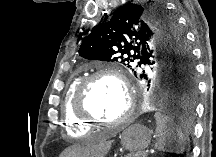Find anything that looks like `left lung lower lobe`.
Masks as SVG:
<instances>
[{"label":"left lung lower lobe","mask_w":216,"mask_h":157,"mask_svg":"<svg viewBox=\"0 0 216 157\" xmlns=\"http://www.w3.org/2000/svg\"><path fill=\"white\" fill-rule=\"evenodd\" d=\"M195 75V68H194ZM197 92V85L192 87L190 85L184 87L181 91L174 90L171 85L165 91L167 96L174 101L176 106L175 115L177 116L176 125L184 134L190 130L191 117L193 114L192 102L195 100Z\"/></svg>","instance_id":"0a47b994"}]
</instances>
